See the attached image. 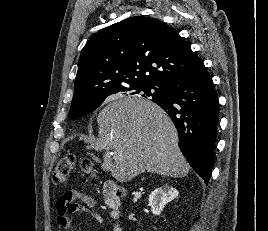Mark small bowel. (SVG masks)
Segmentation results:
<instances>
[{"mask_svg": "<svg viewBox=\"0 0 268 231\" xmlns=\"http://www.w3.org/2000/svg\"><path fill=\"white\" fill-rule=\"evenodd\" d=\"M55 208L57 222L63 229L72 227V215L79 212H85L97 222H102L95 199L75 187L68 188L60 194Z\"/></svg>", "mask_w": 268, "mask_h": 231, "instance_id": "c3829d8e", "label": "small bowel"}]
</instances>
